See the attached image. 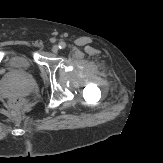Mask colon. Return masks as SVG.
Wrapping results in <instances>:
<instances>
[{
  "label": "colon",
  "mask_w": 163,
  "mask_h": 163,
  "mask_svg": "<svg viewBox=\"0 0 163 163\" xmlns=\"http://www.w3.org/2000/svg\"><path fill=\"white\" fill-rule=\"evenodd\" d=\"M10 106L13 109H18L21 106V100L19 98H14L10 102Z\"/></svg>",
  "instance_id": "obj_1"
}]
</instances>
